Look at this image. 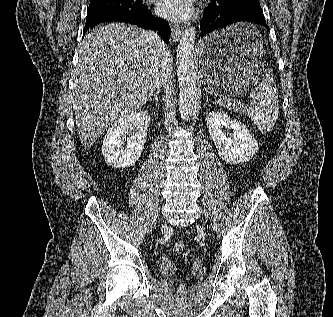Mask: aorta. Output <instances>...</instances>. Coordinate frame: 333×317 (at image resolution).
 <instances>
[{
    "label": "aorta",
    "mask_w": 333,
    "mask_h": 317,
    "mask_svg": "<svg viewBox=\"0 0 333 317\" xmlns=\"http://www.w3.org/2000/svg\"><path fill=\"white\" fill-rule=\"evenodd\" d=\"M196 30H184L177 48V74L179 82V112L182 119L192 115L197 102V82L194 65Z\"/></svg>",
    "instance_id": "1"
}]
</instances>
